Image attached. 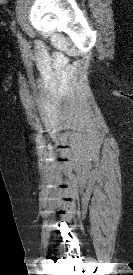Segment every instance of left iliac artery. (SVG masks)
<instances>
[{
  "label": "left iliac artery",
  "mask_w": 133,
  "mask_h": 275,
  "mask_svg": "<svg viewBox=\"0 0 133 275\" xmlns=\"http://www.w3.org/2000/svg\"><path fill=\"white\" fill-rule=\"evenodd\" d=\"M12 26L15 28V21L12 22ZM17 36H18L20 42H22V43L25 42V39L22 37L21 33L18 32Z\"/></svg>",
  "instance_id": "left-iliac-artery-1"
}]
</instances>
